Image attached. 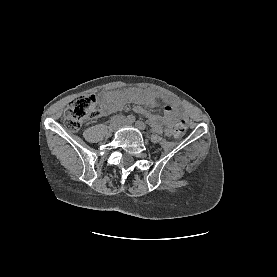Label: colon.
I'll use <instances>...</instances> for the list:
<instances>
[{
    "mask_svg": "<svg viewBox=\"0 0 277 277\" xmlns=\"http://www.w3.org/2000/svg\"><path fill=\"white\" fill-rule=\"evenodd\" d=\"M98 115L97 101L93 95H81L73 99L64 113V124L71 130H78L87 121ZM187 132V121L179 119L173 129L176 139L182 138Z\"/></svg>",
    "mask_w": 277,
    "mask_h": 277,
    "instance_id": "1",
    "label": "colon"
}]
</instances>
